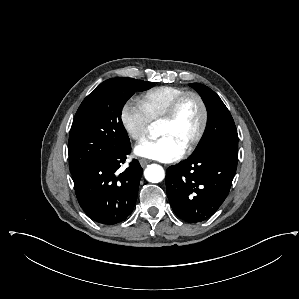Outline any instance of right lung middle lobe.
Here are the masks:
<instances>
[{
  "label": "right lung middle lobe",
  "instance_id": "obj_1",
  "mask_svg": "<svg viewBox=\"0 0 299 299\" xmlns=\"http://www.w3.org/2000/svg\"><path fill=\"white\" fill-rule=\"evenodd\" d=\"M152 87L151 82L112 78L101 83L81 103L69 135V167L73 174L89 163L130 145L121 121L126 101L136 92Z\"/></svg>",
  "mask_w": 299,
  "mask_h": 299
}]
</instances>
